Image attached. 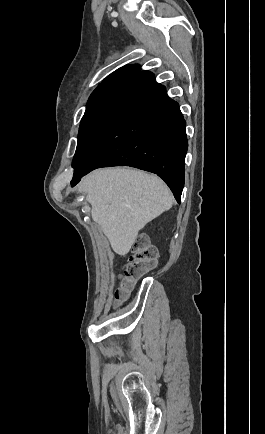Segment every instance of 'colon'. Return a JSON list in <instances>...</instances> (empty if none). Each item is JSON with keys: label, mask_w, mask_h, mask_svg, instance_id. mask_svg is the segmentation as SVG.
Instances as JSON below:
<instances>
[{"label": "colon", "mask_w": 265, "mask_h": 434, "mask_svg": "<svg viewBox=\"0 0 265 434\" xmlns=\"http://www.w3.org/2000/svg\"><path fill=\"white\" fill-rule=\"evenodd\" d=\"M157 264V251L144 237H137L128 262L122 267L115 285L117 301L128 297L135 280L154 269Z\"/></svg>", "instance_id": "1"}]
</instances>
